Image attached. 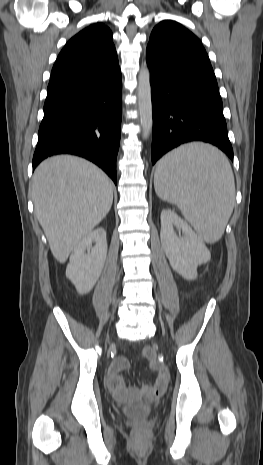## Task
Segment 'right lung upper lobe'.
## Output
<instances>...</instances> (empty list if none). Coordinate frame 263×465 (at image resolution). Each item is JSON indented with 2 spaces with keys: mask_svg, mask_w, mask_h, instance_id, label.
<instances>
[{
  "mask_svg": "<svg viewBox=\"0 0 263 465\" xmlns=\"http://www.w3.org/2000/svg\"><path fill=\"white\" fill-rule=\"evenodd\" d=\"M120 71L110 29L93 24L72 37L60 52L51 72L48 90L103 79Z\"/></svg>",
  "mask_w": 263,
  "mask_h": 465,
  "instance_id": "right-lung-upper-lobe-1",
  "label": "right lung upper lobe"
}]
</instances>
